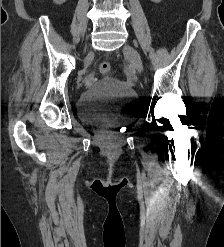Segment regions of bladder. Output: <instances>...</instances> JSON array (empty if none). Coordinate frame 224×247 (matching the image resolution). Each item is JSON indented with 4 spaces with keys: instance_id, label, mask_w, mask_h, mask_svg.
I'll return each mask as SVG.
<instances>
[{
    "instance_id": "1",
    "label": "bladder",
    "mask_w": 224,
    "mask_h": 247,
    "mask_svg": "<svg viewBox=\"0 0 224 247\" xmlns=\"http://www.w3.org/2000/svg\"><path fill=\"white\" fill-rule=\"evenodd\" d=\"M137 106L138 96L133 89L121 81L103 78L81 94L77 109L83 122L114 129L130 123Z\"/></svg>"
}]
</instances>
